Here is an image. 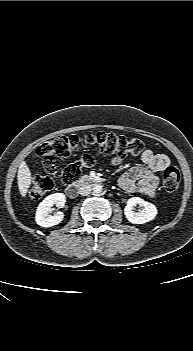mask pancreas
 I'll return each mask as SVG.
<instances>
[{"label": "pancreas", "mask_w": 193, "mask_h": 351, "mask_svg": "<svg viewBox=\"0 0 193 351\" xmlns=\"http://www.w3.org/2000/svg\"><path fill=\"white\" fill-rule=\"evenodd\" d=\"M89 177L87 175L83 176V179H88Z\"/></svg>", "instance_id": "1"}]
</instances>
